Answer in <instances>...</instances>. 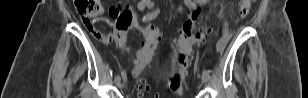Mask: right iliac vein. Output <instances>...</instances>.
Here are the masks:
<instances>
[{
	"label": "right iliac vein",
	"mask_w": 308,
	"mask_h": 98,
	"mask_svg": "<svg viewBox=\"0 0 308 98\" xmlns=\"http://www.w3.org/2000/svg\"><path fill=\"white\" fill-rule=\"evenodd\" d=\"M115 84L119 87V86L121 85V79H120V78L117 79V80L115 81Z\"/></svg>",
	"instance_id": "63e3f726"
}]
</instances>
